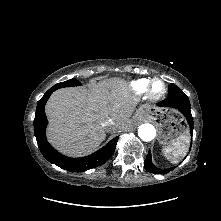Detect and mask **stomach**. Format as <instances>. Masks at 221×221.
Returning <instances> with one entry per match:
<instances>
[{
  "mask_svg": "<svg viewBox=\"0 0 221 221\" xmlns=\"http://www.w3.org/2000/svg\"><path fill=\"white\" fill-rule=\"evenodd\" d=\"M137 115L156 123L158 141L163 145H170L176 137L188 132L183 117L173 109L144 104L139 108Z\"/></svg>",
  "mask_w": 221,
  "mask_h": 221,
  "instance_id": "obj_1",
  "label": "stomach"
}]
</instances>
